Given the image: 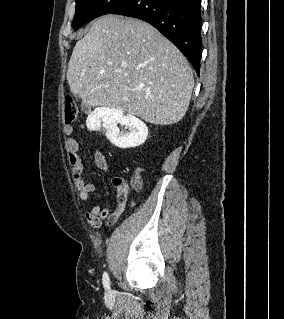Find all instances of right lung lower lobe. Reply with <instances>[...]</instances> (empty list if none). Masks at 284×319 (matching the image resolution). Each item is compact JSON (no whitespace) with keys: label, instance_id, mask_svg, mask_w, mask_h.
<instances>
[{"label":"right lung lower lobe","instance_id":"obj_1","mask_svg":"<svg viewBox=\"0 0 284 319\" xmlns=\"http://www.w3.org/2000/svg\"><path fill=\"white\" fill-rule=\"evenodd\" d=\"M111 14L135 17L153 25L188 58L199 75L200 0H130Z\"/></svg>","mask_w":284,"mask_h":319}]
</instances>
